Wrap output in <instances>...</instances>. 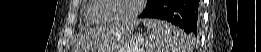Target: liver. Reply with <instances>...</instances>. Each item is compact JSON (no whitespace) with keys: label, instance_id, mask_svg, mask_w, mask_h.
Segmentation results:
<instances>
[{"label":"liver","instance_id":"obj_1","mask_svg":"<svg viewBox=\"0 0 261 52\" xmlns=\"http://www.w3.org/2000/svg\"><path fill=\"white\" fill-rule=\"evenodd\" d=\"M132 29H133V27L127 28L126 31H125V34L128 33V32H131ZM108 34H111V31L109 32L108 29H107V33H106V29L101 30L100 33H99V35H101V37H102L103 46L107 43V41H109V35ZM114 36L115 37L117 36L115 32L113 33V37Z\"/></svg>","mask_w":261,"mask_h":52}]
</instances>
